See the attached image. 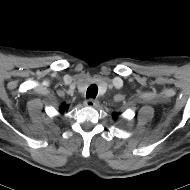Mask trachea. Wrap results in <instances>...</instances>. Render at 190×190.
<instances>
[{"label":"trachea","instance_id":"trachea-1","mask_svg":"<svg viewBox=\"0 0 190 190\" xmlns=\"http://www.w3.org/2000/svg\"><path fill=\"white\" fill-rule=\"evenodd\" d=\"M97 94H98V87L95 84L90 85L86 92V98H95Z\"/></svg>","mask_w":190,"mask_h":190}]
</instances>
